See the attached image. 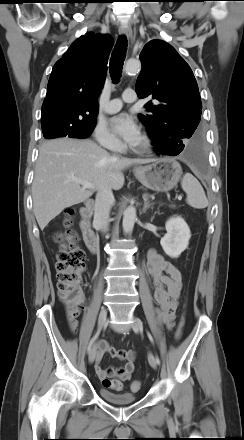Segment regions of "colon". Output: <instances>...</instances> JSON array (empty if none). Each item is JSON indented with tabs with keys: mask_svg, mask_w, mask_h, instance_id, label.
Returning a JSON list of instances; mask_svg holds the SVG:
<instances>
[{
	"mask_svg": "<svg viewBox=\"0 0 244 440\" xmlns=\"http://www.w3.org/2000/svg\"><path fill=\"white\" fill-rule=\"evenodd\" d=\"M73 210L67 211V217L63 221L64 230L55 235V240L59 243L57 252V289L58 295L67 309L68 318L74 320L79 311L83 308L84 293L82 289L83 274L86 270L85 254L75 242V235L70 229L69 217ZM184 319L180 321L176 332V338L182 335ZM103 387L107 389L122 390L123 382L117 378L108 377L102 381ZM141 383L134 380L131 383V390L138 391Z\"/></svg>",
	"mask_w": 244,
	"mask_h": 440,
	"instance_id": "obj_1",
	"label": "colon"
}]
</instances>
